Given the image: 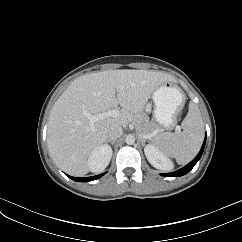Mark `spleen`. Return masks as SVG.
<instances>
[{
	"label": "spleen",
	"instance_id": "3e777b00",
	"mask_svg": "<svg viewBox=\"0 0 242 242\" xmlns=\"http://www.w3.org/2000/svg\"><path fill=\"white\" fill-rule=\"evenodd\" d=\"M183 131L165 132L153 140V144L165 155L184 165L199 152L204 138V124L198 106L190 102L189 111L182 121Z\"/></svg>",
	"mask_w": 242,
	"mask_h": 242
}]
</instances>
